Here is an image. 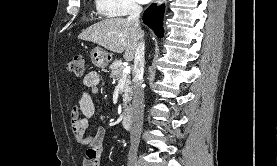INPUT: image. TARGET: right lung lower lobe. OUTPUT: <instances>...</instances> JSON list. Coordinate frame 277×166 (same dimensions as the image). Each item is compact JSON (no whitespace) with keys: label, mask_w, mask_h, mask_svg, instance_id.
Masks as SVG:
<instances>
[{"label":"right lung lower lobe","mask_w":277,"mask_h":166,"mask_svg":"<svg viewBox=\"0 0 277 166\" xmlns=\"http://www.w3.org/2000/svg\"><path fill=\"white\" fill-rule=\"evenodd\" d=\"M163 14L164 5L156 6L152 4L143 14V22L149 26L157 35V37H163Z\"/></svg>","instance_id":"obj_1"}]
</instances>
